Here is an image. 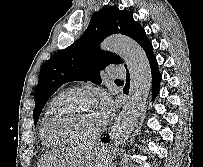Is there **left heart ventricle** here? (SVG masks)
<instances>
[{
	"label": "left heart ventricle",
	"mask_w": 203,
	"mask_h": 167,
	"mask_svg": "<svg viewBox=\"0 0 203 167\" xmlns=\"http://www.w3.org/2000/svg\"><path fill=\"white\" fill-rule=\"evenodd\" d=\"M55 125L69 136L86 137L97 132L103 123L89 100L79 98Z\"/></svg>",
	"instance_id": "left-heart-ventricle-1"
}]
</instances>
